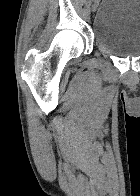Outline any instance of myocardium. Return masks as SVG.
<instances>
[{"instance_id": "f54148a6", "label": "myocardium", "mask_w": 140, "mask_h": 196, "mask_svg": "<svg viewBox=\"0 0 140 196\" xmlns=\"http://www.w3.org/2000/svg\"><path fill=\"white\" fill-rule=\"evenodd\" d=\"M88 192H104V191H88ZM121 192H126V191H121Z\"/></svg>"}]
</instances>
